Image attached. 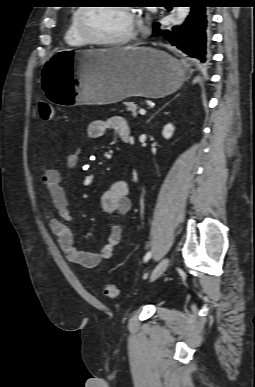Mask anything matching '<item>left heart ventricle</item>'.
<instances>
[{
	"label": "left heart ventricle",
	"mask_w": 255,
	"mask_h": 387,
	"mask_svg": "<svg viewBox=\"0 0 255 387\" xmlns=\"http://www.w3.org/2000/svg\"><path fill=\"white\" fill-rule=\"evenodd\" d=\"M85 23L101 39H119L135 28V20L120 7H94L86 14Z\"/></svg>",
	"instance_id": "left-heart-ventricle-1"
}]
</instances>
